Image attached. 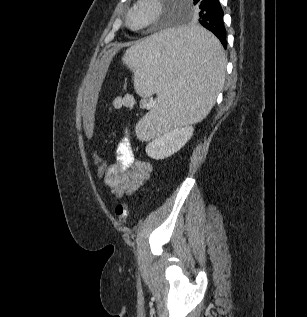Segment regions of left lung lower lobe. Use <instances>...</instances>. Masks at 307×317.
Returning a JSON list of instances; mask_svg holds the SVG:
<instances>
[{"label":"left lung lower lobe","instance_id":"0a47b994","mask_svg":"<svg viewBox=\"0 0 307 317\" xmlns=\"http://www.w3.org/2000/svg\"><path fill=\"white\" fill-rule=\"evenodd\" d=\"M197 4L199 19L198 22L210 30L221 42L224 49L227 48L226 30L223 23V10L219 0H194V5ZM189 45L195 46L197 51L206 59L212 61L215 58V53L203 45L190 41Z\"/></svg>","mask_w":307,"mask_h":317}]
</instances>
